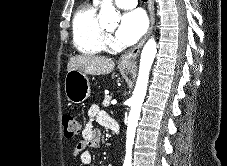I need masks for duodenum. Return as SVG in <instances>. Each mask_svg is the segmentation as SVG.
<instances>
[{
  "instance_id": "1",
  "label": "duodenum",
  "mask_w": 227,
  "mask_h": 166,
  "mask_svg": "<svg viewBox=\"0 0 227 166\" xmlns=\"http://www.w3.org/2000/svg\"><path fill=\"white\" fill-rule=\"evenodd\" d=\"M109 126L114 132L119 131V123L116 119H111Z\"/></svg>"
}]
</instances>
